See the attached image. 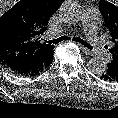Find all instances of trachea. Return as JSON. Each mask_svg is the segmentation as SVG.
I'll return each instance as SVG.
<instances>
[{
  "label": "trachea",
  "instance_id": "3493384b",
  "mask_svg": "<svg viewBox=\"0 0 118 118\" xmlns=\"http://www.w3.org/2000/svg\"><path fill=\"white\" fill-rule=\"evenodd\" d=\"M70 39L71 38L68 37V36H61V37H59L57 39L47 41V43H49V44H59L62 41H66V40H70ZM73 40L78 42V43H80V44H82L83 46H85V47H87V48H89L91 50L93 48L89 43H87L86 41H84L83 39H81L79 37H73Z\"/></svg>",
  "mask_w": 118,
  "mask_h": 118
}]
</instances>
